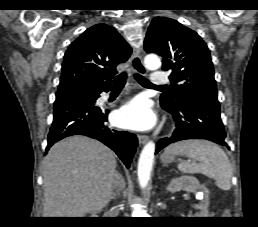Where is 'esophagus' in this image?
Segmentation results:
<instances>
[{
	"instance_id": "34e87169",
	"label": "esophagus",
	"mask_w": 258,
	"mask_h": 227,
	"mask_svg": "<svg viewBox=\"0 0 258 227\" xmlns=\"http://www.w3.org/2000/svg\"><path fill=\"white\" fill-rule=\"evenodd\" d=\"M131 63L134 70L141 75H146L147 70L143 65L142 57L138 50H135L131 57ZM138 141L140 144H145L148 141V136L146 135H138Z\"/></svg>"
}]
</instances>
